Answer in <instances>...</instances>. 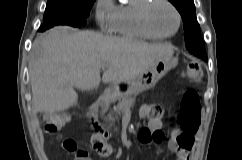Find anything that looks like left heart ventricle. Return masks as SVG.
<instances>
[{"mask_svg": "<svg viewBox=\"0 0 242 160\" xmlns=\"http://www.w3.org/2000/svg\"><path fill=\"white\" fill-rule=\"evenodd\" d=\"M149 20L152 27L159 33L170 34L177 27L174 11L164 3H156L150 10Z\"/></svg>", "mask_w": 242, "mask_h": 160, "instance_id": "left-heart-ventricle-1", "label": "left heart ventricle"}]
</instances>
